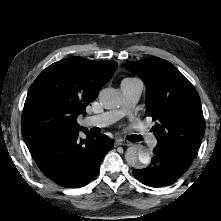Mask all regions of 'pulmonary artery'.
<instances>
[{"instance_id":"e3ab8cb5","label":"pulmonary artery","mask_w":221,"mask_h":221,"mask_svg":"<svg viewBox=\"0 0 221 221\" xmlns=\"http://www.w3.org/2000/svg\"><path fill=\"white\" fill-rule=\"evenodd\" d=\"M123 103L119 109H114L101 114L86 117L82 124L85 127H105L108 126L123 116L131 112L133 107L139 101L143 91V84L140 80H123L120 85ZM137 127L141 129V134L146 136L147 140H151L153 137L148 131L143 128V123L138 122Z\"/></svg>"}]
</instances>
